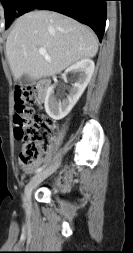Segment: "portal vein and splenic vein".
<instances>
[{
    "instance_id": "1",
    "label": "portal vein and splenic vein",
    "mask_w": 133,
    "mask_h": 253,
    "mask_svg": "<svg viewBox=\"0 0 133 253\" xmlns=\"http://www.w3.org/2000/svg\"><path fill=\"white\" fill-rule=\"evenodd\" d=\"M38 52H39L40 55L44 56L46 58V60L51 61V58L47 54L45 48H39Z\"/></svg>"
}]
</instances>
